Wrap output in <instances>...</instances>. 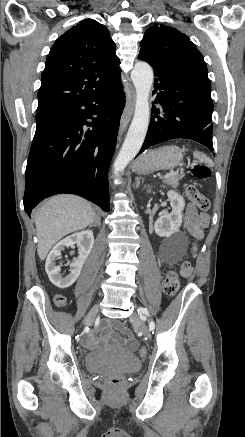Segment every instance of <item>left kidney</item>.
<instances>
[{
    "label": "left kidney",
    "instance_id": "5707ae66",
    "mask_svg": "<svg viewBox=\"0 0 245 437\" xmlns=\"http://www.w3.org/2000/svg\"><path fill=\"white\" fill-rule=\"evenodd\" d=\"M167 196L170 200L172 212L159 217L154 224L155 233L160 237H169L179 232L182 224V211L185 207L183 197L177 192L170 190L167 192Z\"/></svg>",
    "mask_w": 245,
    "mask_h": 437
}]
</instances>
